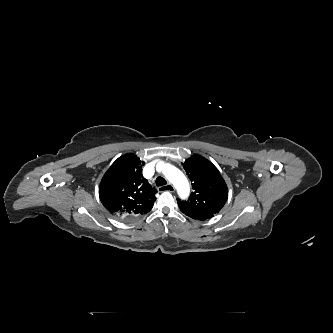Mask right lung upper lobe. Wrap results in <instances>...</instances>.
<instances>
[{
	"label": "right lung upper lobe",
	"mask_w": 333,
	"mask_h": 333,
	"mask_svg": "<svg viewBox=\"0 0 333 333\" xmlns=\"http://www.w3.org/2000/svg\"><path fill=\"white\" fill-rule=\"evenodd\" d=\"M143 164L136 155L125 154L104 174L99 186V197L112 215L139 216L152 209L157 190L143 177Z\"/></svg>",
	"instance_id": "1"
}]
</instances>
